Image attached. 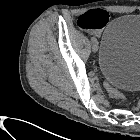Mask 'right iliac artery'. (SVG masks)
<instances>
[{"instance_id":"82829eb1","label":"right iliac artery","mask_w":140,"mask_h":140,"mask_svg":"<svg viewBox=\"0 0 140 140\" xmlns=\"http://www.w3.org/2000/svg\"><path fill=\"white\" fill-rule=\"evenodd\" d=\"M92 41H95V38L94 37L92 38Z\"/></svg>"}]
</instances>
